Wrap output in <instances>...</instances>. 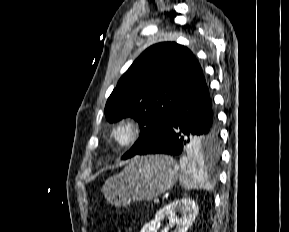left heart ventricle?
<instances>
[{"label": "left heart ventricle", "instance_id": "b2bd125f", "mask_svg": "<svg viewBox=\"0 0 289 232\" xmlns=\"http://www.w3.org/2000/svg\"><path fill=\"white\" fill-rule=\"evenodd\" d=\"M124 136H125V132H121L120 137H124Z\"/></svg>", "mask_w": 289, "mask_h": 232}]
</instances>
